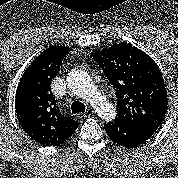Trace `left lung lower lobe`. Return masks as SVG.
I'll return each instance as SVG.
<instances>
[{
    "instance_id": "1",
    "label": "left lung lower lobe",
    "mask_w": 178,
    "mask_h": 178,
    "mask_svg": "<svg viewBox=\"0 0 178 178\" xmlns=\"http://www.w3.org/2000/svg\"><path fill=\"white\" fill-rule=\"evenodd\" d=\"M104 127L110 139L115 143L126 148H135L149 140L160 126L146 122L114 119Z\"/></svg>"
}]
</instances>
